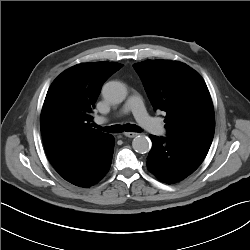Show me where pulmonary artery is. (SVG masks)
Masks as SVG:
<instances>
[{
	"label": "pulmonary artery",
	"mask_w": 250,
	"mask_h": 250,
	"mask_svg": "<svg viewBox=\"0 0 250 250\" xmlns=\"http://www.w3.org/2000/svg\"><path fill=\"white\" fill-rule=\"evenodd\" d=\"M122 111L124 113L131 111L139 125L150 131L151 133H154L158 136L166 135L167 131L165 127L159 121L149 116L142 103L141 98L138 95L130 96L125 103ZM97 121L99 123H104L106 122V119L99 117L97 118Z\"/></svg>",
	"instance_id": "1"
}]
</instances>
